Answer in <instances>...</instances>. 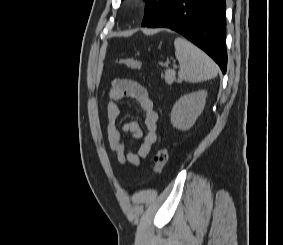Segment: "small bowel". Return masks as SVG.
I'll use <instances>...</instances> for the list:
<instances>
[{
  "label": "small bowel",
  "instance_id": "obj_1",
  "mask_svg": "<svg viewBox=\"0 0 283 245\" xmlns=\"http://www.w3.org/2000/svg\"><path fill=\"white\" fill-rule=\"evenodd\" d=\"M109 103L107 110V140L110 150L115 154L120 164H131L135 167L141 165L151 150V147L157 141V126L159 116L154 109L153 101L147 91L138 81L117 78L113 80L109 90ZM125 99L135 101L143 113V126L139 123L129 121L121 127L118 126L120 115V102ZM131 133L134 139H142L137 152L127 150L123 136Z\"/></svg>",
  "mask_w": 283,
  "mask_h": 245
}]
</instances>
